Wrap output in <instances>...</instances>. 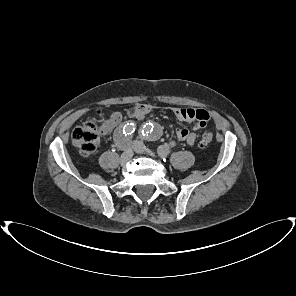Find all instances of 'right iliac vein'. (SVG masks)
Segmentation results:
<instances>
[{
    "instance_id": "obj_1",
    "label": "right iliac vein",
    "mask_w": 296,
    "mask_h": 296,
    "mask_svg": "<svg viewBox=\"0 0 296 296\" xmlns=\"http://www.w3.org/2000/svg\"><path fill=\"white\" fill-rule=\"evenodd\" d=\"M132 156H133V150L128 144L127 148L122 153L120 160L122 163H126L132 158Z\"/></svg>"
}]
</instances>
